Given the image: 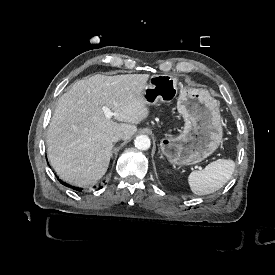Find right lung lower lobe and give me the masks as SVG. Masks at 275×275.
I'll list each match as a JSON object with an SVG mask.
<instances>
[{
	"label": "right lung lower lobe",
	"mask_w": 275,
	"mask_h": 275,
	"mask_svg": "<svg viewBox=\"0 0 275 275\" xmlns=\"http://www.w3.org/2000/svg\"><path fill=\"white\" fill-rule=\"evenodd\" d=\"M61 182V181H60ZM62 184H64L65 186H67L68 184H66V183H62ZM73 189H75V190H77V191H81V189L80 188H78V187H73Z\"/></svg>",
	"instance_id": "right-lung-lower-lobe-1"
}]
</instances>
